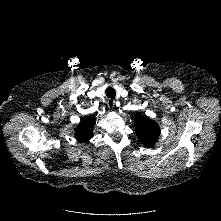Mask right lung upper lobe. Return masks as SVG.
I'll return each mask as SVG.
<instances>
[{
	"instance_id": "right-lung-upper-lobe-1",
	"label": "right lung upper lobe",
	"mask_w": 221,
	"mask_h": 221,
	"mask_svg": "<svg viewBox=\"0 0 221 221\" xmlns=\"http://www.w3.org/2000/svg\"><path fill=\"white\" fill-rule=\"evenodd\" d=\"M95 118L90 116L75 128V136L79 141H88L93 137L91 126L94 124Z\"/></svg>"
}]
</instances>
